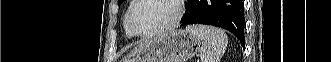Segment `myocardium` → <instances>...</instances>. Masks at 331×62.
<instances>
[{
    "label": "myocardium",
    "mask_w": 331,
    "mask_h": 62,
    "mask_svg": "<svg viewBox=\"0 0 331 62\" xmlns=\"http://www.w3.org/2000/svg\"><path fill=\"white\" fill-rule=\"evenodd\" d=\"M141 1H143V0H134L131 5L130 10L128 11V15H127V22H128L129 29H130L131 33L135 36L142 37V38H149V37H153V36L162 34L164 32H167V31L173 29L174 27H176L179 24L180 20L182 19V16L184 13L183 1L172 0L175 4L176 10H177L176 15L173 18V20L170 21L168 24L164 25L163 27L158 28L156 30L149 31V32H140L139 30H137V28L134 25L133 13Z\"/></svg>",
    "instance_id": "obj_1"
}]
</instances>
